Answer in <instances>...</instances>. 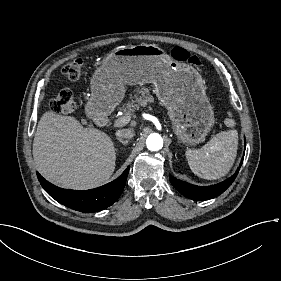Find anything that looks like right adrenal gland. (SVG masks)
<instances>
[{
	"label": "right adrenal gland",
	"instance_id": "obj_1",
	"mask_svg": "<svg viewBox=\"0 0 281 281\" xmlns=\"http://www.w3.org/2000/svg\"><path fill=\"white\" fill-rule=\"evenodd\" d=\"M117 140L122 143V144H127V140L126 139H121V138H117Z\"/></svg>",
	"mask_w": 281,
	"mask_h": 281
}]
</instances>
